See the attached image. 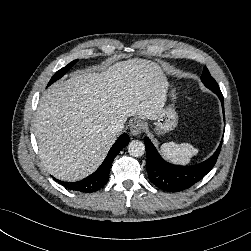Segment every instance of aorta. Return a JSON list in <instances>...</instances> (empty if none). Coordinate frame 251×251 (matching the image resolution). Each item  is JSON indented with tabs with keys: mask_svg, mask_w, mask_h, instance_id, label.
<instances>
[{
	"mask_svg": "<svg viewBox=\"0 0 251 251\" xmlns=\"http://www.w3.org/2000/svg\"><path fill=\"white\" fill-rule=\"evenodd\" d=\"M128 152L133 157L142 156L145 152V145L141 141L133 140L128 145Z\"/></svg>",
	"mask_w": 251,
	"mask_h": 251,
	"instance_id": "obj_1",
	"label": "aorta"
}]
</instances>
